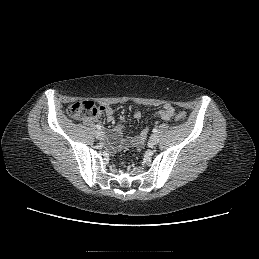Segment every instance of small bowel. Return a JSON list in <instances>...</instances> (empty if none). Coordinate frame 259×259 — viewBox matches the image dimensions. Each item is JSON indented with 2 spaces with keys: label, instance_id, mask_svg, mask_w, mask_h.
Returning a JSON list of instances; mask_svg holds the SVG:
<instances>
[{
  "label": "small bowel",
  "instance_id": "small-bowel-1",
  "mask_svg": "<svg viewBox=\"0 0 259 259\" xmlns=\"http://www.w3.org/2000/svg\"><path fill=\"white\" fill-rule=\"evenodd\" d=\"M174 113H175L174 107L169 103H164L161 106V109L155 113V116H158L165 121H169L174 117ZM102 114H105V116L109 122L113 121L114 111L110 106H101L98 115L95 117H92L90 119H95ZM133 117L135 119H140L142 117V113L140 111H136V112H134ZM147 135H148V129H144L140 132L139 135L124 139L123 138V127L117 126L112 133L111 148L118 149L121 146H123L124 144L132 145V146H141L144 144V142L147 138Z\"/></svg>",
  "mask_w": 259,
  "mask_h": 259
}]
</instances>
